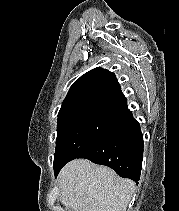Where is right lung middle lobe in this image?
Listing matches in <instances>:
<instances>
[{
	"label": "right lung middle lobe",
	"instance_id": "dd1d6c3e",
	"mask_svg": "<svg viewBox=\"0 0 179 211\" xmlns=\"http://www.w3.org/2000/svg\"><path fill=\"white\" fill-rule=\"evenodd\" d=\"M121 114L83 111L58 119L54 169L64 166L100 142L114 128Z\"/></svg>",
	"mask_w": 179,
	"mask_h": 211
}]
</instances>
